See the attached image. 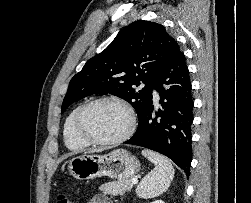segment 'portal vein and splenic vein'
I'll return each mask as SVG.
<instances>
[{
    "label": "portal vein and splenic vein",
    "instance_id": "1",
    "mask_svg": "<svg viewBox=\"0 0 251 203\" xmlns=\"http://www.w3.org/2000/svg\"><path fill=\"white\" fill-rule=\"evenodd\" d=\"M138 180L136 178H133L132 184H137Z\"/></svg>",
    "mask_w": 251,
    "mask_h": 203
}]
</instances>
